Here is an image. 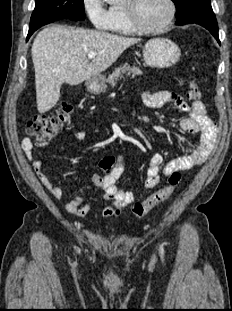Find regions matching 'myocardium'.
Returning a JSON list of instances; mask_svg holds the SVG:
<instances>
[{"mask_svg":"<svg viewBox=\"0 0 232 311\" xmlns=\"http://www.w3.org/2000/svg\"><path fill=\"white\" fill-rule=\"evenodd\" d=\"M136 0H126L123 5L127 20L134 31L142 34H155L164 31L172 23L176 15V5L173 0H166L168 4V15L166 19L156 27H146L142 25L136 17L134 3Z\"/></svg>","mask_w":232,"mask_h":311,"instance_id":"obj_1","label":"myocardium"}]
</instances>
